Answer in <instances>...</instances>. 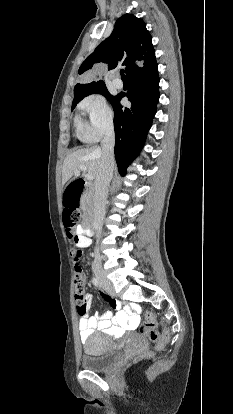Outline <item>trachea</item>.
<instances>
[{
	"instance_id": "3493384b",
	"label": "trachea",
	"mask_w": 233,
	"mask_h": 414,
	"mask_svg": "<svg viewBox=\"0 0 233 414\" xmlns=\"http://www.w3.org/2000/svg\"><path fill=\"white\" fill-rule=\"evenodd\" d=\"M120 74H121L122 79H127V77L124 75L123 69L120 70Z\"/></svg>"
}]
</instances>
